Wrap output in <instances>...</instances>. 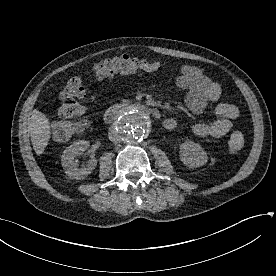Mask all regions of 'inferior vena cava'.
<instances>
[{
  "label": "inferior vena cava",
  "mask_w": 276,
  "mask_h": 276,
  "mask_svg": "<svg viewBox=\"0 0 276 276\" xmlns=\"http://www.w3.org/2000/svg\"><path fill=\"white\" fill-rule=\"evenodd\" d=\"M109 140L112 142H118L119 141V133L115 130V128H110L108 132Z\"/></svg>",
  "instance_id": "602c4592"
}]
</instances>
